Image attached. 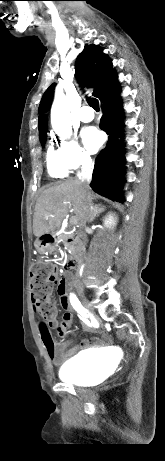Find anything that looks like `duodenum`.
<instances>
[{"mask_svg": "<svg viewBox=\"0 0 165 461\" xmlns=\"http://www.w3.org/2000/svg\"><path fill=\"white\" fill-rule=\"evenodd\" d=\"M56 235H62V232H53V233H49L46 235V239L49 240L52 243V237L56 236ZM67 242L69 243H72L75 245L76 249H75V253L72 257L71 260H69L68 262V267L69 269L71 270H75L79 267V264L80 262L82 261L83 259V256H84V250H85V246H84V241L81 237H79L77 234H73V235H70L66 238Z\"/></svg>", "mask_w": 165, "mask_h": 461, "instance_id": "obj_1", "label": "duodenum"}]
</instances>
